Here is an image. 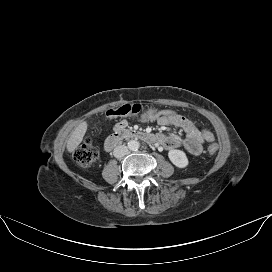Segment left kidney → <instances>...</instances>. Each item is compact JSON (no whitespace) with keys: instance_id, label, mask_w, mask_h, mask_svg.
<instances>
[{"instance_id":"1","label":"left kidney","mask_w":272,"mask_h":272,"mask_svg":"<svg viewBox=\"0 0 272 272\" xmlns=\"http://www.w3.org/2000/svg\"><path fill=\"white\" fill-rule=\"evenodd\" d=\"M170 161L178 168H185L188 165V158L181 150H170L168 152Z\"/></svg>"}]
</instances>
